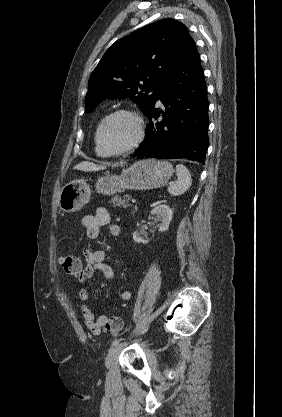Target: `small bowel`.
Segmentation results:
<instances>
[{
  "label": "small bowel",
  "instance_id": "1",
  "mask_svg": "<svg viewBox=\"0 0 282 417\" xmlns=\"http://www.w3.org/2000/svg\"><path fill=\"white\" fill-rule=\"evenodd\" d=\"M80 224L86 229V235L89 239H97L103 228L113 237L121 235V227L111 221L110 214L105 207H97L93 214H84L80 217ZM83 267L81 268V278L78 279L83 286L78 291V299L87 301L90 295L88 283L92 281L95 274L98 273L102 280L109 281L114 278L113 269L105 263L106 252L102 248L84 249L83 250ZM120 300L127 302L132 298L130 289H123L119 294ZM84 325L93 335H99L105 331L103 319L109 318L108 315L95 317L91 308L84 304L81 307ZM116 318H119L116 316Z\"/></svg>",
  "mask_w": 282,
  "mask_h": 417
}]
</instances>
